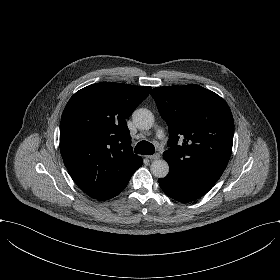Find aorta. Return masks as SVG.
Instances as JSON below:
<instances>
[{
	"mask_svg": "<svg viewBox=\"0 0 280 280\" xmlns=\"http://www.w3.org/2000/svg\"><path fill=\"white\" fill-rule=\"evenodd\" d=\"M132 117L134 123H136L141 130L151 129L155 122L153 113L146 108L135 110ZM150 170L155 177L164 178L169 173V165L165 160L157 159L152 162Z\"/></svg>",
	"mask_w": 280,
	"mask_h": 280,
	"instance_id": "obj_1",
	"label": "aorta"
}]
</instances>
